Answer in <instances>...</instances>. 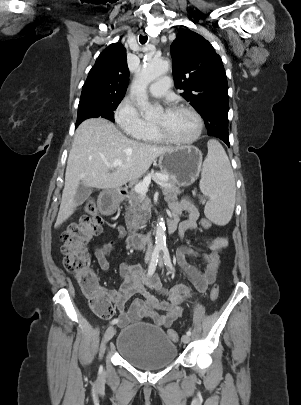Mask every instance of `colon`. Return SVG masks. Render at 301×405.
<instances>
[{
	"instance_id": "1",
	"label": "colon",
	"mask_w": 301,
	"mask_h": 405,
	"mask_svg": "<svg viewBox=\"0 0 301 405\" xmlns=\"http://www.w3.org/2000/svg\"><path fill=\"white\" fill-rule=\"evenodd\" d=\"M104 219L99 214L94 202L85 205L84 214L79 223L71 224L63 233V265L71 272L79 283L83 294L87 298L91 309L100 317L108 318L112 314V308L103 295L98 278L91 267V259L87 251L88 242L98 236L103 230ZM200 225L204 229L211 227V222L203 218ZM219 296V286L215 284L210 291L211 300ZM169 338L178 342L179 335L174 329L167 331Z\"/></svg>"
}]
</instances>
